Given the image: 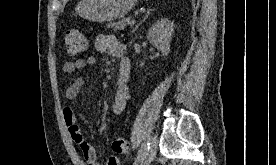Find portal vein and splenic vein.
Wrapping results in <instances>:
<instances>
[{
    "label": "portal vein and splenic vein",
    "mask_w": 276,
    "mask_h": 165,
    "mask_svg": "<svg viewBox=\"0 0 276 165\" xmlns=\"http://www.w3.org/2000/svg\"><path fill=\"white\" fill-rule=\"evenodd\" d=\"M134 23H135V20H130V19L128 20L129 25H133Z\"/></svg>",
    "instance_id": "obj_1"
}]
</instances>
